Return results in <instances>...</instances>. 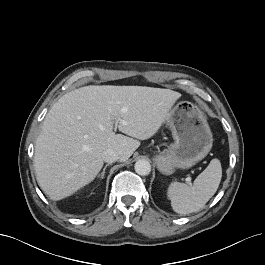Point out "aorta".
Instances as JSON below:
<instances>
[{"label": "aorta", "mask_w": 265, "mask_h": 265, "mask_svg": "<svg viewBox=\"0 0 265 265\" xmlns=\"http://www.w3.org/2000/svg\"><path fill=\"white\" fill-rule=\"evenodd\" d=\"M135 172L141 176L149 175L151 172V165L149 161L145 159H140L136 161L134 166Z\"/></svg>", "instance_id": "1"}]
</instances>
